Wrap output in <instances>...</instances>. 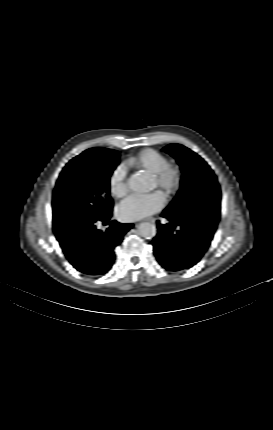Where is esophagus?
Returning <instances> with one entry per match:
<instances>
[{"label": "esophagus", "mask_w": 273, "mask_h": 430, "mask_svg": "<svg viewBox=\"0 0 273 430\" xmlns=\"http://www.w3.org/2000/svg\"><path fill=\"white\" fill-rule=\"evenodd\" d=\"M147 221L154 223L155 220L153 218H149V219H147Z\"/></svg>", "instance_id": "obj_1"}]
</instances>
